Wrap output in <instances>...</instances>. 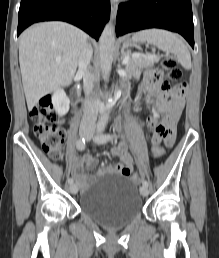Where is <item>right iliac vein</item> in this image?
Segmentation results:
<instances>
[{
    "instance_id": "right-iliac-vein-1",
    "label": "right iliac vein",
    "mask_w": 219,
    "mask_h": 258,
    "mask_svg": "<svg viewBox=\"0 0 219 258\" xmlns=\"http://www.w3.org/2000/svg\"><path fill=\"white\" fill-rule=\"evenodd\" d=\"M69 190H70V192H71L72 194H76L77 191H78V187H77L76 184H71V185L69 186Z\"/></svg>"
}]
</instances>
